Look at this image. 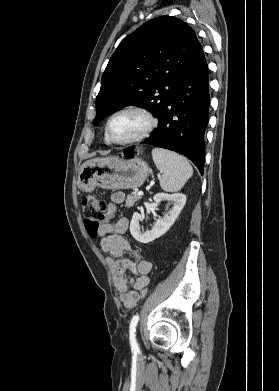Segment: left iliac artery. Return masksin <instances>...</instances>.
<instances>
[{
    "label": "left iliac artery",
    "instance_id": "left-iliac-artery-1",
    "mask_svg": "<svg viewBox=\"0 0 279 391\" xmlns=\"http://www.w3.org/2000/svg\"><path fill=\"white\" fill-rule=\"evenodd\" d=\"M139 321V315L133 316L131 322H130V345L133 349H138V344L136 341V327Z\"/></svg>",
    "mask_w": 279,
    "mask_h": 391
}]
</instances>
